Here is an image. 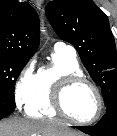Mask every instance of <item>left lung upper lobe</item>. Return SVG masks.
<instances>
[{"mask_svg":"<svg viewBox=\"0 0 117 136\" xmlns=\"http://www.w3.org/2000/svg\"><path fill=\"white\" fill-rule=\"evenodd\" d=\"M45 12L59 37L76 48L100 84L108 110L117 103V52L107 16L92 0H54Z\"/></svg>","mask_w":117,"mask_h":136,"instance_id":"obj_1","label":"left lung upper lobe"}]
</instances>
